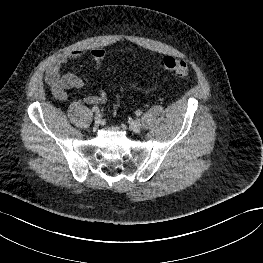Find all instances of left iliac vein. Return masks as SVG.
<instances>
[{
  "instance_id": "1",
  "label": "left iliac vein",
  "mask_w": 263,
  "mask_h": 263,
  "mask_svg": "<svg viewBox=\"0 0 263 263\" xmlns=\"http://www.w3.org/2000/svg\"><path fill=\"white\" fill-rule=\"evenodd\" d=\"M130 129L136 133L140 132L141 124L138 121H132L130 123Z\"/></svg>"
}]
</instances>
